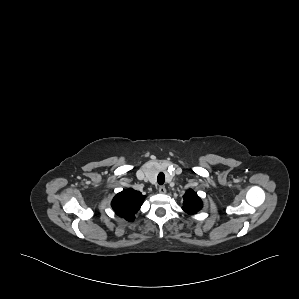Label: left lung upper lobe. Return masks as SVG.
I'll list each match as a JSON object with an SVG mask.
<instances>
[{"label": "left lung upper lobe", "instance_id": "1", "mask_svg": "<svg viewBox=\"0 0 299 299\" xmlns=\"http://www.w3.org/2000/svg\"><path fill=\"white\" fill-rule=\"evenodd\" d=\"M183 210L190 214H196L198 211L202 209V201L200 197L191 189H189L183 196Z\"/></svg>", "mask_w": 299, "mask_h": 299}]
</instances>
